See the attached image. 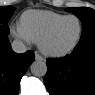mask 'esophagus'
Returning a JSON list of instances; mask_svg holds the SVG:
<instances>
[{
	"mask_svg": "<svg viewBox=\"0 0 95 95\" xmlns=\"http://www.w3.org/2000/svg\"><path fill=\"white\" fill-rule=\"evenodd\" d=\"M43 59L44 58L38 52H35V60L42 61Z\"/></svg>",
	"mask_w": 95,
	"mask_h": 95,
	"instance_id": "esophagus-1",
	"label": "esophagus"
}]
</instances>
